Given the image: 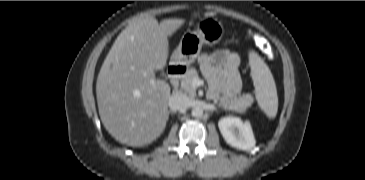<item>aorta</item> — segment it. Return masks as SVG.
Segmentation results:
<instances>
[{
  "label": "aorta",
  "instance_id": "762f6f07",
  "mask_svg": "<svg viewBox=\"0 0 365 180\" xmlns=\"http://www.w3.org/2000/svg\"><path fill=\"white\" fill-rule=\"evenodd\" d=\"M191 114H192L193 117H197V118L202 117L203 116L202 107H200V106L193 107Z\"/></svg>",
  "mask_w": 365,
  "mask_h": 180
}]
</instances>
